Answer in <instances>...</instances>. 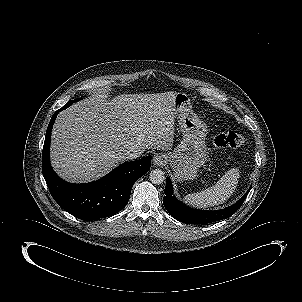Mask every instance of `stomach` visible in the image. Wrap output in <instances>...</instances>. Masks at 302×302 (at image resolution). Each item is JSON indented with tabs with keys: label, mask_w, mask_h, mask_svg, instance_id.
Here are the masks:
<instances>
[{
	"label": "stomach",
	"mask_w": 302,
	"mask_h": 302,
	"mask_svg": "<svg viewBox=\"0 0 302 302\" xmlns=\"http://www.w3.org/2000/svg\"><path fill=\"white\" fill-rule=\"evenodd\" d=\"M174 116L183 135L181 142L168 154V161L176 181L193 180L205 163L207 127L191 109L190 97L177 93L174 99Z\"/></svg>",
	"instance_id": "stomach-1"
}]
</instances>
